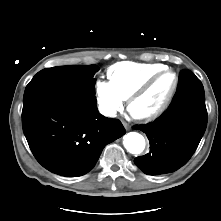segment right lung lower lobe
Masks as SVG:
<instances>
[{"mask_svg":"<svg viewBox=\"0 0 221 221\" xmlns=\"http://www.w3.org/2000/svg\"><path fill=\"white\" fill-rule=\"evenodd\" d=\"M22 126L37 161L67 177L89 172L103 148L125 134L118 119L99 114L95 96L52 87L25 90Z\"/></svg>","mask_w":221,"mask_h":221,"instance_id":"1","label":"right lung lower lobe"}]
</instances>
